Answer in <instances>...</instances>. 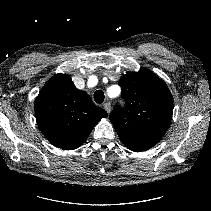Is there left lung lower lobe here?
Listing matches in <instances>:
<instances>
[{
    "label": "left lung lower lobe",
    "instance_id": "1",
    "mask_svg": "<svg viewBox=\"0 0 211 211\" xmlns=\"http://www.w3.org/2000/svg\"><path fill=\"white\" fill-rule=\"evenodd\" d=\"M132 151H136V152H139V151H144V150H132Z\"/></svg>",
    "mask_w": 211,
    "mask_h": 211
}]
</instances>
